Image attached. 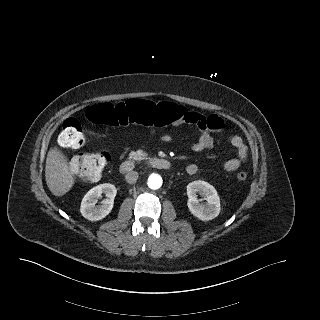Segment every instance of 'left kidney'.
I'll use <instances>...</instances> for the list:
<instances>
[{
  "instance_id": "1",
  "label": "left kidney",
  "mask_w": 320,
  "mask_h": 320,
  "mask_svg": "<svg viewBox=\"0 0 320 320\" xmlns=\"http://www.w3.org/2000/svg\"><path fill=\"white\" fill-rule=\"evenodd\" d=\"M200 194L207 202L200 203L197 198ZM187 206L190 212L202 221L216 218L220 213V198L216 189L205 181H193L187 185Z\"/></svg>"
}]
</instances>
